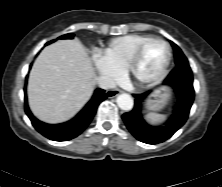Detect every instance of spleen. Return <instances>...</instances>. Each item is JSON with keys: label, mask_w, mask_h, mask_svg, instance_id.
Listing matches in <instances>:
<instances>
[{"label": "spleen", "mask_w": 222, "mask_h": 187, "mask_svg": "<svg viewBox=\"0 0 222 187\" xmlns=\"http://www.w3.org/2000/svg\"><path fill=\"white\" fill-rule=\"evenodd\" d=\"M166 118L165 115L150 113L146 116V119L151 123H160Z\"/></svg>", "instance_id": "obj_1"}]
</instances>
